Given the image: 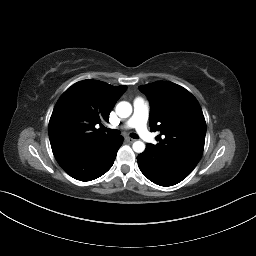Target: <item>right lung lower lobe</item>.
<instances>
[{
    "instance_id": "98d812e1",
    "label": "right lung lower lobe",
    "mask_w": 256,
    "mask_h": 256,
    "mask_svg": "<svg viewBox=\"0 0 256 256\" xmlns=\"http://www.w3.org/2000/svg\"><path fill=\"white\" fill-rule=\"evenodd\" d=\"M123 140L122 136H115L58 163L66 173L77 180H94L111 168Z\"/></svg>"
}]
</instances>
